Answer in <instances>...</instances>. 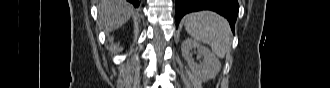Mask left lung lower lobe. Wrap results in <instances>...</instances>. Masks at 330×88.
I'll use <instances>...</instances> for the list:
<instances>
[{"instance_id": "left-lung-lower-lobe-1", "label": "left lung lower lobe", "mask_w": 330, "mask_h": 88, "mask_svg": "<svg viewBox=\"0 0 330 88\" xmlns=\"http://www.w3.org/2000/svg\"><path fill=\"white\" fill-rule=\"evenodd\" d=\"M199 10H212L224 16L229 21L234 33L239 11L237 0H176V28L185 14Z\"/></svg>"}]
</instances>
